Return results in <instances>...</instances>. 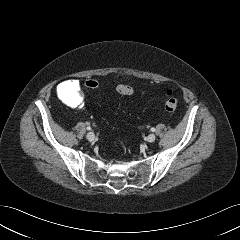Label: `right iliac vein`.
Listing matches in <instances>:
<instances>
[{
    "instance_id": "obj_1",
    "label": "right iliac vein",
    "mask_w": 240,
    "mask_h": 240,
    "mask_svg": "<svg viewBox=\"0 0 240 240\" xmlns=\"http://www.w3.org/2000/svg\"><path fill=\"white\" fill-rule=\"evenodd\" d=\"M86 137L89 141H93L95 139V135L93 132L87 133Z\"/></svg>"
}]
</instances>
